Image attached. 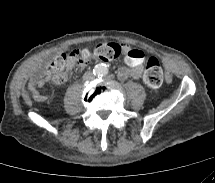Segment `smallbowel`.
<instances>
[{"instance_id":"1","label":"small bowel","mask_w":215,"mask_h":183,"mask_svg":"<svg viewBox=\"0 0 215 183\" xmlns=\"http://www.w3.org/2000/svg\"><path fill=\"white\" fill-rule=\"evenodd\" d=\"M126 49L120 57L121 63L124 65L118 70V77L121 80H125L129 77L139 78L142 74V63L147 60L148 54L144 48L132 45L124 46ZM75 59H71L67 72L71 71L75 66ZM67 74L63 76H54L49 70H44L33 75L29 81L28 89L31 96L37 101H44L45 96L39 92L46 82L51 81L54 84H62L65 82Z\"/></svg>"}]
</instances>
